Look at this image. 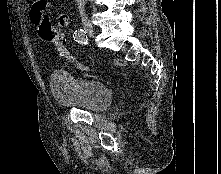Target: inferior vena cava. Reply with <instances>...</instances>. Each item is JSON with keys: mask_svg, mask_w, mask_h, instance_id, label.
<instances>
[{"mask_svg": "<svg viewBox=\"0 0 221 174\" xmlns=\"http://www.w3.org/2000/svg\"><path fill=\"white\" fill-rule=\"evenodd\" d=\"M75 1L77 2L80 15H84L85 0H75Z\"/></svg>", "mask_w": 221, "mask_h": 174, "instance_id": "602c4592", "label": "inferior vena cava"}]
</instances>
